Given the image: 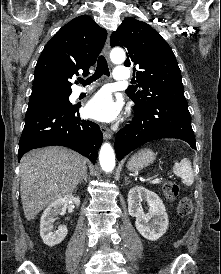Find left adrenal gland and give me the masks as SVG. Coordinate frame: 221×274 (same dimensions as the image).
Wrapping results in <instances>:
<instances>
[{"label":"left adrenal gland","instance_id":"obj_1","mask_svg":"<svg viewBox=\"0 0 221 274\" xmlns=\"http://www.w3.org/2000/svg\"><path fill=\"white\" fill-rule=\"evenodd\" d=\"M128 183H130L128 177H125V185H127Z\"/></svg>","mask_w":221,"mask_h":274}]
</instances>
